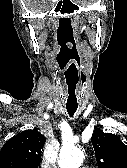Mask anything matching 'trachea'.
<instances>
[{
    "label": "trachea",
    "mask_w": 127,
    "mask_h": 168,
    "mask_svg": "<svg viewBox=\"0 0 127 168\" xmlns=\"http://www.w3.org/2000/svg\"><path fill=\"white\" fill-rule=\"evenodd\" d=\"M77 108H78V106H66L67 112L71 117H73Z\"/></svg>",
    "instance_id": "3493384b"
}]
</instances>
